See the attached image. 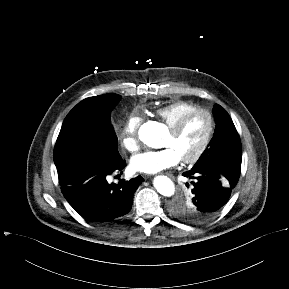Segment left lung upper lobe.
Listing matches in <instances>:
<instances>
[{
    "label": "left lung upper lobe",
    "instance_id": "1",
    "mask_svg": "<svg viewBox=\"0 0 289 289\" xmlns=\"http://www.w3.org/2000/svg\"><path fill=\"white\" fill-rule=\"evenodd\" d=\"M216 128L208 147L192 169L207 167L241 166L242 147L239 135L229 114L220 105L213 108ZM190 197V195H189ZM174 216L190 222L199 223L203 220L195 216V211L189 198L178 197L171 205Z\"/></svg>",
    "mask_w": 289,
    "mask_h": 289
}]
</instances>
